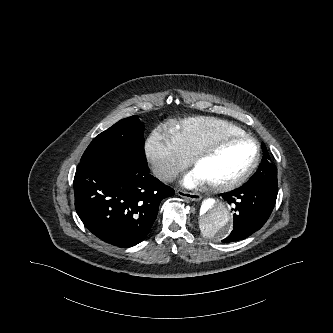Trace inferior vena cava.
<instances>
[{
    "instance_id": "1",
    "label": "inferior vena cava",
    "mask_w": 333,
    "mask_h": 333,
    "mask_svg": "<svg viewBox=\"0 0 333 333\" xmlns=\"http://www.w3.org/2000/svg\"><path fill=\"white\" fill-rule=\"evenodd\" d=\"M177 174V171L166 167L160 168L155 172L156 177L164 181H173Z\"/></svg>"
}]
</instances>
